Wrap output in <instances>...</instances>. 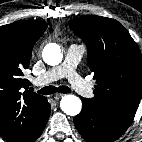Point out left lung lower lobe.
Segmentation results:
<instances>
[{
	"mask_svg": "<svg viewBox=\"0 0 142 142\" xmlns=\"http://www.w3.org/2000/svg\"><path fill=\"white\" fill-rule=\"evenodd\" d=\"M81 100L83 108L75 116L74 124L87 142H113L130 126L97 107L91 100L86 98H81Z\"/></svg>",
	"mask_w": 142,
	"mask_h": 142,
	"instance_id": "left-lung-lower-lobe-1",
	"label": "left lung lower lobe"
}]
</instances>
